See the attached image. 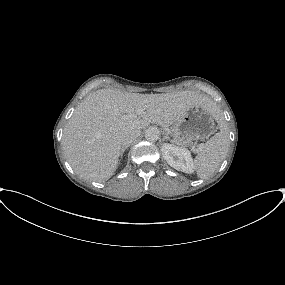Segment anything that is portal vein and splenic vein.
<instances>
[{
	"label": "portal vein and splenic vein",
	"mask_w": 285,
	"mask_h": 285,
	"mask_svg": "<svg viewBox=\"0 0 285 285\" xmlns=\"http://www.w3.org/2000/svg\"><path fill=\"white\" fill-rule=\"evenodd\" d=\"M142 114V110H137L136 113L131 114L130 116H137V115H141Z\"/></svg>",
	"instance_id": "18ae733b"
}]
</instances>
